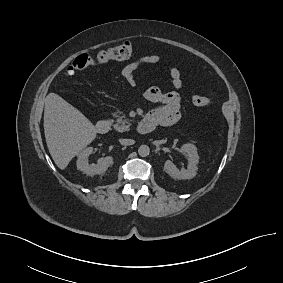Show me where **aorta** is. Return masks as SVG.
<instances>
[{
	"label": "aorta",
	"instance_id": "1",
	"mask_svg": "<svg viewBox=\"0 0 283 283\" xmlns=\"http://www.w3.org/2000/svg\"><path fill=\"white\" fill-rule=\"evenodd\" d=\"M138 153L141 157H146L150 153V148L147 145H141L138 149Z\"/></svg>",
	"mask_w": 283,
	"mask_h": 283
}]
</instances>
